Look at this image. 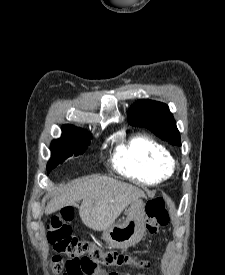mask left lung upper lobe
<instances>
[{
    "instance_id": "5c2ea615",
    "label": "left lung upper lobe",
    "mask_w": 225,
    "mask_h": 275,
    "mask_svg": "<svg viewBox=\"0 0 225 275\" xmlns=\"http://www.w3.org/2000/svg\"><path fill=\"white\" fill-rule=\"evenodd\" d=\"M128 121L132 126H143L151 130L162 140L180 146V134L173 115L166 104L153 100H139L128 112Z\"/></svg>"
}]
</instances>
